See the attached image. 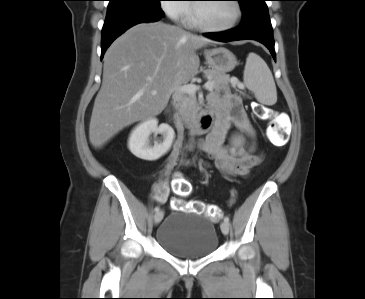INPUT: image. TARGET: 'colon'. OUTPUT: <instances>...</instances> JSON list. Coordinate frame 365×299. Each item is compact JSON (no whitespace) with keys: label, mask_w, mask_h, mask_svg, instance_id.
<instances>
[{"label":"colon","mask_w":365,"mask_h":299,"mask_svg":"<svg viewBox=\"0 0 365 299\" xmlns=\"http://www.w3.org/2000/svg\"><path fill=\"white\" fill-rule=\"evenodd\" d=\"M256 113L261 119L270 121L267 129L268 139L274 144L283 145L287 141L288 134L282 121L275 116L270 108L263 105L257 106ZM173 190L181 197L173 202L174 209L204 214L215 221L219 220L221 210L217 205L205 204L201 201H185L182 199V197L188 195L192 190L187 180L183 178L174 179Z\"/></svg>","instance_id":"5ec220e1"}]
</instances>
